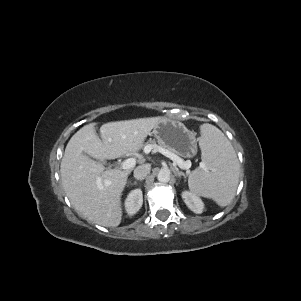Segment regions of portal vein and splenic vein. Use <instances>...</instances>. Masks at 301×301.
<instances>
[{
	"label": "portal vein and splenic vein",
	"instance_id": "1",
	"mask_svg": "<svg viewBox=\"0 0 301 301\" xmlns=\"http://www.w3.org/2000/svg\"><path fill=\"white\" fill-rule=\"evenodd\" d=\"M156 149V151L160 152L164 156L170 158L174 163H176L181 169H185L189 173V168L191 167V162L190 161H184L180 157H178L176 154L171 153L170 151L158 147V146H146L145 147V153H149L152 149ZM136 164V160L134 158H128L124 162H122L121 167L122 169H130L134 167Z\"/></svg>",
	"mask_w": 301,
	"mask_h": 301
}]
</instances>
